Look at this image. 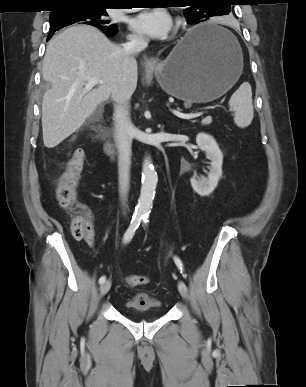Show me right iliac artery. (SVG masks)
I'll list each match as a JSON object with an SVG mask.
<instances>
[{"label": "right iliac artery", "instance_id": "obj_1", "mask_svg": "<svg viewBox=\"0 0 306 387\" xmlns=\"http://www.w3.org/2000/svg\"><path fill=\"white\" fill-rule=\"evenodd\" d=\"M140 223H141V218L140 217H133L132 218L129 227L126 230V232H125V234L123 236V242L125 244L130 242V240L133 238L134 233H135L136 229L139 227ZM105 280H106V277L102 276L99 279V283L103 284L105 282Z\"/></svg>", "mask_w": 306, "mask_h": 387}]
</instances>
